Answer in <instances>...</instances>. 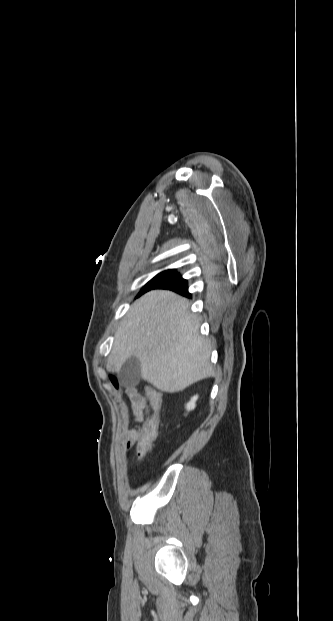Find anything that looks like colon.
Returning a JSON list of instances; mask_svg holds the SVG:
<instances>
[{
	"mask_svg": "<svg viewBox=\"0 0 333 621\" xmlns=\"http://www.w3.org/2000/svg\"><path fill=\"white\" fill-rule=\"evenodd\" d=\"M149 399L151 413L142 424L136 443V454L139 460L146 458L151 451L153 441L158 433L160 425L162 394L157 389L150 388Z\"/></svg>",
	"mask_w": 333,
	"mask_h": 621,
	"instance_id": "obj_1",
	"label": "colon"
}]
</instances>
